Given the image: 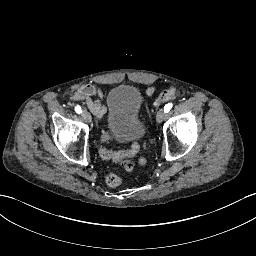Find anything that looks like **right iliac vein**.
Wrapping results in <instances>:
<instances>
[{
  "label": "right iliac vein",
  "mask_w": 256,
  "mask_h": 256,
  "mask_svg": "<svg viewBox=\"0 0 256 256\" xmlns=\"http://www.w3.org/2000/svg\"><path fill=\"white\" fill-rule=\"evenodd\" d=\"M82 118H83L85 121H87V122H91V116H90V114H89L87 111H84V112L82 113Z\"/></svg>",
  "instance_id": "63e3f726"
}]
</instances>
